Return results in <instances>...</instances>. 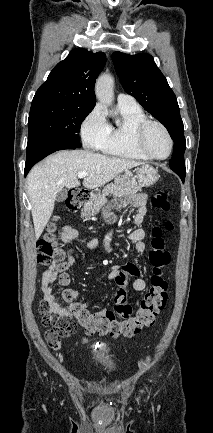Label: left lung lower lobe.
I'll list each match as a JSON object with an SVG mask.
<instances>
[{
	"label": "left lung lower lobe",
	"instance_id": "left-lung-lower-lobe-1",
	"mask_svg": "<svg viewBox=\"0 0 213 433\" xmlns=\"http://www.w3.org/2000/svg\"><path fill=\"white\" fill-rule=\"evenodd\" d=\"M177 174L179 175V177L181 178L182 182L184 183L185 175L186 174H183V173H177Z\"/></svg>",
	"mask_w": 213,
	"mask_h": 433
}]
</instances>
